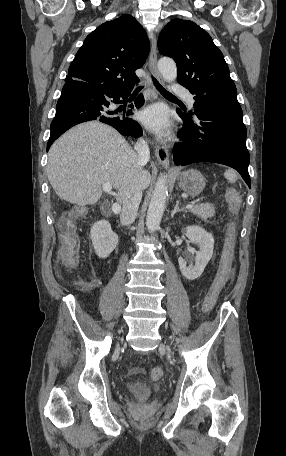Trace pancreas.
Instances as JSON below:
<instances>
[{
    "instance_id": "1",
    "label": "pancreas",
    "mask_w": 286,
    "mask_h": 456,
    "mask_svg": "<svg viewBox=\"0 0 286 456\" xmlns=\"http://www.w3.org/2000/svg\"><path fill=\"white\" fill-rule=\"evenodd\" d=\"M190 212L206 221L215 215L214 205L211 203L199 204L190 209Z\"/></svg>"
}]
</instances>
